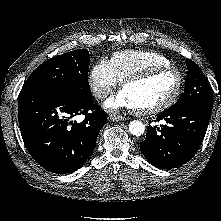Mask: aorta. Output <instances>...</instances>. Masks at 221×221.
<instances>
[{"instance_id":"762f6f07","label":"aorta","mask_w":221,"mask_h":221,"mask_svg":"<svg viewBox=\"0 0 221 221\" xmlns=\"http://www.w3.org/2000/svg\"><path fill=\"white\" fill-rule=\"evenodd\" d=\"M129 132L135 136H141L145 132V125L139 120H133L129 123Z\"/></svg>"}]
</instances>
